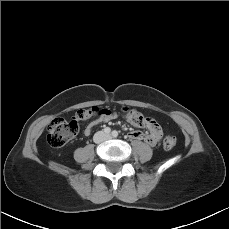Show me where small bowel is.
Returning a JSON list of instances; mask_svg holds the SVG:
<instances>
[{
	"label": "small bowel",
	"mask_w": 229,
	"mask_h": 229,
	"mask_svg": "<svg viewBox=\"0 0 229 229\" xmlns=\"http://www.w3.org/2000/svg\"><path fill=\"white\" fill-rule=\"evenodd\" d=\"M115 117V114L109 111L102 112L99 117L90 123L84 130L85 135H90L93 128L100 123H106L112 120ZM145 127L148 129L147 133L140 131H133L129 133V137L135 140H143L149 145H155L161 136V127L154 118H147Z\"/></svg>",
	"instance_id": "obj_1"
}]
</instances>
